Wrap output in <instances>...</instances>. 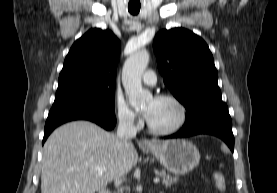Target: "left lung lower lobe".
Instances as JSON below:
<instances>
[{"label": "left lung lower lobe", "instance_id": "0a47b994", "mask_svg": "<svg viewBox=\"0 0 277 193\" xmlns=\"http://www.w3.org/2000/svg\"><path fill=\"white\" fill-rule=\"evenodd\" d=\"M197 134H211L224 140L234 151V136L228 107L224 102L202 106L186 118L183 128L164 138H182Z\"/></svg>", "mask_w": 277, "mask_h": 193}]
</instances>
